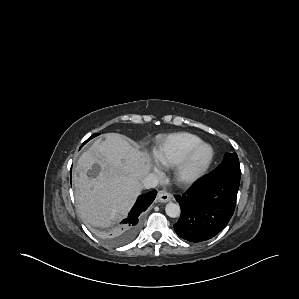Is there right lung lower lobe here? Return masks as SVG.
Here are the masks:
<instances>
[{
	"label": "right lung lower lobe",
	"instance_id": "1",
	"mask_svg": "<svg viewBox=\"0 0 299 299\" xmlns=\"http://www.w3.org/2000/svg\"><path fill=\"white\" fill-rule=\"evenodd\" d=\"M157 191L140 195L128 214V218L122 221V226L109 236V240L114 244H122L133 238L139 228L143 213L151 205L156 197Z\"/></svg>",
	"mask_w": 299,
	"mask_h": 299
}]
</instances>
